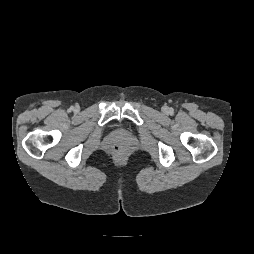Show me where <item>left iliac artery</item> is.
I'll list each match as a JSON object with an SVG mask.
<instances>
[{"instance_id": "left-iliac-artery-1", "label": "left iliac artery", "mask_w": 254, "mask_h": 254, "mask_svg": "<svg viewBox=\"0 0 254 254\" xmlns=\"http://www.w3.org/2000/svg\"><path fill=\"white\" fill-rule=\"evenodd\" d=\"M169 112H170L171 114H173V113H174V109H173V108H170V109H169Z\"/></svg>"}]
</instances>
